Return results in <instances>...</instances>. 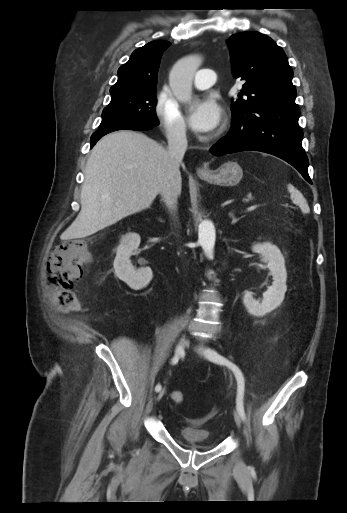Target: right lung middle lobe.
Listing matches in <instances>:
<instances>
[{"instance_id":"1","label":"right lung middle lobe","mask_w":347,"mask_h":513,"mask_svg":"<svg viewBox=\"0 0 347 513\" xmlns=\"http://www.w3.org/2000/svg\"><path fill=\"white\" fill-rule=\"evenodd\" d=\"M111 101L103 110L99 129L117 124L134 123L147 127L159 124L155 107L156 88L111 92Z\"/></svg>"}]
</instances>
